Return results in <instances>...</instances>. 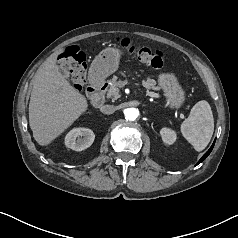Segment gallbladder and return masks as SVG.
Returning <instances> with one entry per match:
<instances>
[{
  "instance_id": "gallbladder-1",
  "label": "gallbladder",
  "mask_w": 238,
  "mask_h": 238,
  "mask_svg": "<svg viewBox=\"0 0 238 238\" xmlns=\"http://www.w3.org/2000/svg\"><path fill=\"white\" fill-rule=\"evenodd\" d=\"M59 71H60V73H61L64 77H66V78L69 77L68 72H67L63 67H60V68H59Z\"/></svg>"
}]
</instances>
